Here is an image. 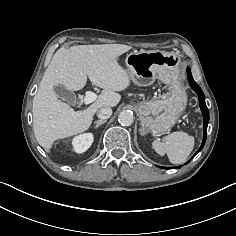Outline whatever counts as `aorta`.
<instances>
[{"mask_svg": "<svg viewBox=\"0 0 236 236\" xmlns=\"http://www.w3.org/2000/svg\"><path fill=\"white\" fill-rule=\"evenodd\" d=\"M118 121L120 124L128 126L134 122L133 112L130 110H123L119 113Z\"/></svg>", "mask_w": 236, "mask_h": 236, "instance_id": "762f6f07", "label": "aorta"}]
</instances>
